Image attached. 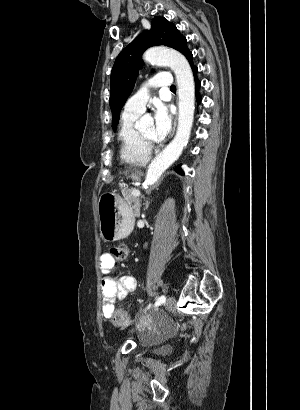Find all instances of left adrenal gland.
I'll return each mask as SVG.
<instances>
[{"label": "left adrenal gland", "mask_w": 300, "mask_h": 410, "mask_svg": "<svg viewBox=\"0 0 300 410\" xmlns=\"http://www.w3.org/2000/svg\"><path fill=\"white\" fill-rule=\"evenodd\" d=\"M149 204H150V202L147 200V201L145 202V210L149 207Z\"/></svg>", "instance_id": "obj_1"}]
</instances>
